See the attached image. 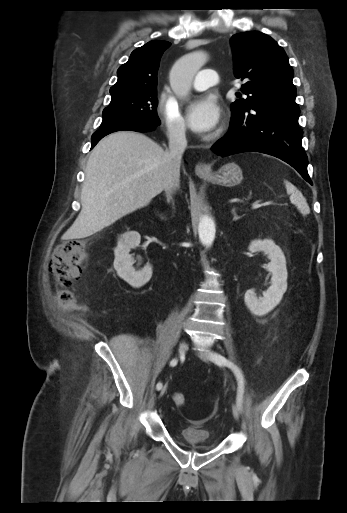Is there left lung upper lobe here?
<instances>
[{
	"label": "left lung upper lobe",
	"instance_id": "1",
	"mask_svg": "<svg viewBox=\"0 0 347 513\" xmlns=\"http://www.w3.org/2000/svg\"><path fill=\"white\" fill-rule=\"evenodd\" d=\"M231 47L234 74L246 81L241 91L247 95L231 104L232 113L264 102L295 103L293 69L274 39L258 31L242 32L231 38Z\"/></svg>",
	"mask_w": 347,
	"mask_h": 513
}]
</instances>
